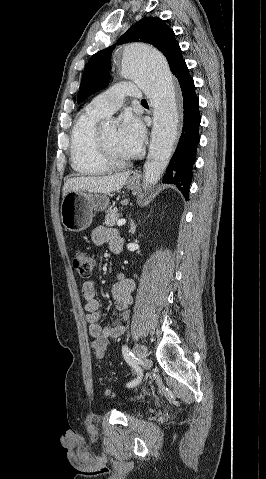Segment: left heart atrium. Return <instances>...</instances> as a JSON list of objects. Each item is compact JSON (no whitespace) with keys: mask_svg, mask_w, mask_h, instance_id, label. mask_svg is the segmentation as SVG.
<instances>
[{"mask_svg":"<svg viewBox=\"0 0 266 479\" xmlns=\"http://www.w3.org/2000/svg\"><path fill=\"white\" fill-rule=\"evenodd\" d=\"M145 130L142 122L133 115H127L118 129V140L123 152L134 156L140 152Z\"/></svg>","mask_w":266,"mask_h":479,"instance_id":"1","label":"left heart atrium"}]
</instances>
